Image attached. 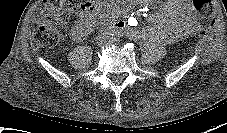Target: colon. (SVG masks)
<instances>
[{"label":"colon","mask_w":227,"mask_h":133,"mask_svg":"<svg viewBox=\"0 0 227 133\" xmlns=\"http://www.w3.org/2000/svg\"><path fill=\"white\" fill-rule=\"evenodd\" d=\"M199 15L200 34L206 35L214 23L213 0H193ZM90 0H43L34 19V40L39 45L52 46L66 33L67 21L94 9Z\"/></svg>","instance_id":"1"}]
</instances>
